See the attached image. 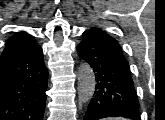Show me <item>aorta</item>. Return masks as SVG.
<instances>
[{
	"mask_svg": "<svg viewBox=\"0 0 165 120\" xmlns=\"http://www.w3.org/2000/svg\"><path fill=\"white\" fill-rule=\"evenodd\" d=\"M78 97L83 103L91 100L95 91V74L93 69L85 62H82L78 68Z\"/></svg>",
	"mask_w": 165,
	"mask_h": 120,
	"instance_id": "obj_1",
	"label": "aorta"
}]
</instances>
